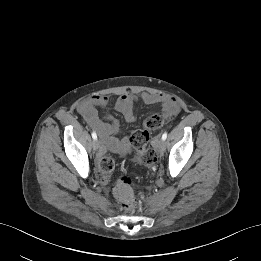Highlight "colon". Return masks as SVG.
I'll return each instance as SVG.
<instances>
[{
  "label": "colon",
  "instance_id": "colon-1",
  "mask_svg": "<svg viewBox=\"0 0 261 261\" xmlns=\"http://www.w3.org/2000/svg\"><path fill=\"white\" fill-rule=\"evenodd\" d=\"M171 115L168 113H156L149 116L141 129L131 133L129 140L134 147L137 159L153 174L156 168L157 156L155 149L150 145V133L162 127ZM115 168L112 156L104 155L99 163L100 176L107 180ZM115 194L126 210H132L136 205L134 191L128 177H121L115 187Z\"/></svg>",
  "mask_w": 261,
  "mask_h": 261
}]
</instances>
